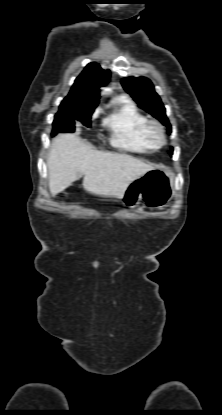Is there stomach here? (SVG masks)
Instances as JSON below:
<instances>
[{"instance_id": "obj_1", "label": "stomach", "mask_w": 222, "mask_h": 415, "mask_svg": "<svg viewBox=\"0 0 222 415\" xmlns=\"http://www.w3.org/2000/svg\"><path fill=\"white\" fill-rule=\"evenodd\" d=\"M175 176L165 167H157L133 180L122 196L125 207L135 208L141 201L151 208L165 206L174 196Z\"/></svg>"}]
</instances>
